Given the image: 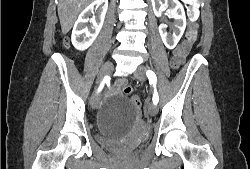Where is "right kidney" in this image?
Here are the masks:
<instances>
[{"instance_id": "ca27d5eb", "label": "right kidney", "mask_w": 250, "mask_h": 169, "mask_svg": "<svg viewBox=\"0 0 250 169\" xmlns=\"http://www.w3.org/2000/svg\"><path fill=\"white\" fill-rule=\"evenodd\" d=\"M107 8L108 0H93L91 4H88V6L80 12L71 34L72 44L75 48L85 50V48H88V46L94 42L103 26ZM91 12H93L95 16L89 18ZM88 20L91 22L90 28L86 26Z\"/></svg>"}]
</instances>
